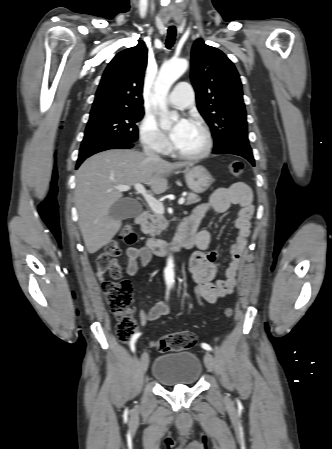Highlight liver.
<instances>
[{
  "label": "liver",
  "instance_id": "6515ba94",
  "mask_svg": "<svg viewBox=\"0 0 332 449\" xmlns=\"http://www.w3.org/2000/svg\"><path fill=\"white\" fill-rule=\"evenodd\" d=\"M187 167L186 163L149 160L134 150H108L87 159L76 173L75 203L86 249L93 254L110 243L121 228V220L109 216L121 199L117 185L143 183L155 194L167 189L166 176Z\"/></svg>",
  "mask_w": 332,
  "mask_h": 449
}]
</instances>
